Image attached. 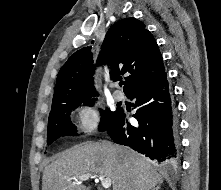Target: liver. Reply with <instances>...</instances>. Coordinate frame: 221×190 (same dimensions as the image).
<instances>
[{"mask_svg": "<svg viewBox=\"0 0 221 190\" xmlns=\"http://www.w3.org/2000/svg\"><path fill=\"white\" fill-rule=\"evenodd\" d=\"M85 174H99L111 179L113 190H153L162 176L143 155L109 141L76 145L47 165L42 177V190H90L79 182Z\"/></svg>", "mask_w": 221, "mask_h": 190, "instance_id": "1", "label": "liver"}]
</instances>
